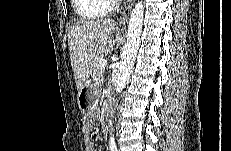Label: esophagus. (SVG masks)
Here are the masks:
<instances>
[{
    "mask_svg": "<svg viewBox=\"0 0 231 151\" xmlns=\"http://www.w3.org/2000/svg\"><path fill=\"white\" fill-rule=\"evenodd\" d=\"M134 2H135L134 0L128 1L127 6H126L125 10L123 11V13H122V15L118 21V25L120 27L124 26L127 23Z\"/></svg>",
    "mask_w": 231,
    "mask_h": 151,
    "instance_id": "1",
    "label": "esophagus"
}]
</instances>
